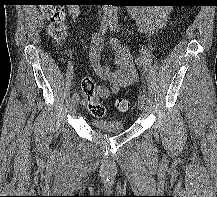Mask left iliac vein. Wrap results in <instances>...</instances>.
<instances>
[{
  "instance_id": "obj_1",
  "label": "left iliac vein",
  "mask_w": 217,
  "mask_h": 197,
  "mask_svg": "<svg viewBox=\"0 0 217 197\" xmlns=\"http://www.w3.org/2000/svg\"><path fill=\"white\" fill-rule=\"evenodd\" d=\"M138 106L142 112L147 110V97L143 92L138 95Z\"/></svg>"
}]
</instances>
